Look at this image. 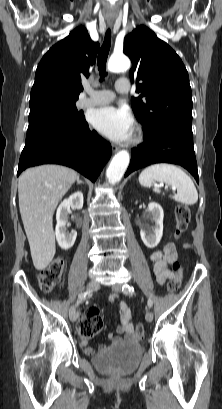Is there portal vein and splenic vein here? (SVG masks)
<instances>
[{"instance_id": "18ae733b", "label": "portal vein and splenic vein", "mask_w": 222, "mask_h": 409, "mask_svg": "<svg viewBox=\"0 0 222 409\" xmlns=\"http://www.w3.org/2000/svg\"><path fill=\"white\" fill-rule=\"evenodd\" d=\"M157 186H158V187H163V186H164V183H160V184H158ZM172 189H173V190H176V187H172Z\"/></svg>"}]
</instances>
